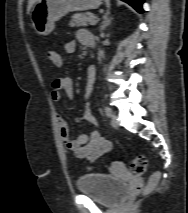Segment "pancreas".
I'll return each instance as SVG.
<instances>
[{
    "label": "pancreas",
    "mask_w": 188,
    "mask_h": 213,
    "mask_svg": "<svg viewBox=\"0 0 188 213\" xmlns=\"http://www.w3.org/2000/svg\"><path fill=\"white\" fill-rule=\"evenodd\" d=\"M94 17L93 13H76L71 17L70 27L86 26L90 19Z\"/></svg>",
    "instance_id": "1"
}]
</instances>
